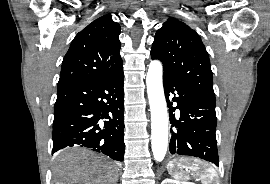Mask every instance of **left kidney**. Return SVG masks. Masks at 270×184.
<instances>
[{"instance_id": "1", "label": "left kidney", "mask_w": 270, "mask_h": 184, "mask_svg": "<svg viewBox=\"0 0 270 184\" xmlns=\"http://www.w3.org/2000/svg\"><path fill=\"white\" fill-rule=\"evenodd\" d=\"M161 184H185L173 179H164Z\"/></svg>"}]
</instances>
